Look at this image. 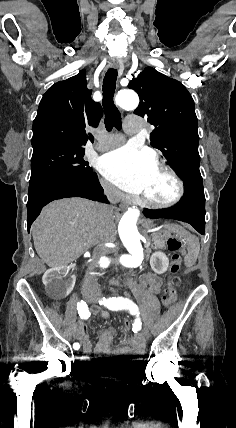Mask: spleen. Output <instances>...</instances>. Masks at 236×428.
<instances>
[{"mask_svg": "<svg viewBox=\"0 0 236 428\" xmlns=\"http://www.w3.org/2000/svg\"><path fill=\"white\" fill-rule=\"evenodd\" d=\"M167 228L168 230H172V232H176V234H179L182 238H185L188 250V254L184 258L185 266H187V268L194 266L200 250L198 238L192 236V234H189L187 230H183L180 226H167Z\"/></svg>", "mask_w": 236, "mask_h": 428, "instance_id": "obj_1", "label": "spleen"}]
</instances>
